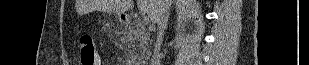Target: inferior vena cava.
<instances>
[{
  "mask_svg": "<svg viewBox=\"0 0 309 65\" xmlns=\"http://www.w3.org/2000/svg\"><path fill=\"white\" fill-rule=\"evenodd\" d=\"M171 5V0H164V8L157 20V39L155 43V48L153 52V56L151 59V65H160L161 64V44L163 41V36L165 29L168 23V16H169V7Z\"/></svg>",
  "mask_w": 309,
  "mask_h": 65,
  "instance_id": "obj_1",
  "label": "inferior vena cava"
}]
</instances>
